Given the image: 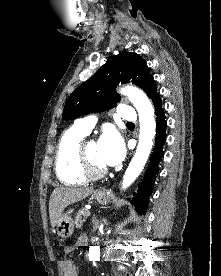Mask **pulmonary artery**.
<instances>
[{"instance_id":"1","label":"pulmonary artery","mask_w":221,"mask_h":276,"mask_svg":"<svg viewBox=\"0 0 221 276\" xmlns=\"http://www.w3.org/2000/svg\"><path fill=\"white\" fill-rule=\"evenodd\" d=\"M118 116L128 122L135 120V111L132 107L127 105H120L118 108ZM96 123L94 116H88L85 118L78 119L75 122V127L85 134H89Z\"/></svg>"}]
</instances>
